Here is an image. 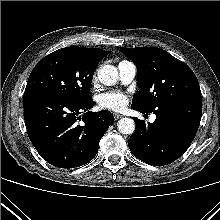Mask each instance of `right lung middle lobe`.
Listing matches in <instances>:
<instances>
[{
	"label": "right lung middle lobe",
	"mask_w": 220,
	"mask_h": 220,
	"mask_svg": "<svg viewBox=\"0 0 220 220\" xmlns=\"http://www.w3.org/2000/svg\"><path fill=\"white\" fill-rule=\"evenodd\" d=\"M98 62L85 58L75 46L45 56L32 70L25 92L46 91L73 101L90 97V85Z\"/></svg>",
	"instance_id": "1"
}]
</instances>
